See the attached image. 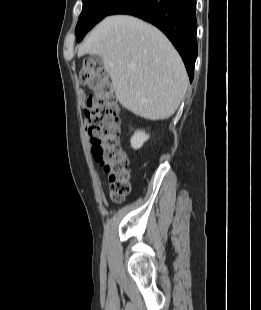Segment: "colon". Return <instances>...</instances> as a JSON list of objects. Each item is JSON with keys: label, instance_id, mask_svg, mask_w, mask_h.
<instances>
[{"label": "colon", "instance_id": "5ec220e1", "mask_svg": "<svg viewBox=\"0 0 261 310\" xmlns=\"http://www.w3.org/2000/svg\"><path fill=\"white\" fill-rule=\"evenodd\" d=\"M79 80L92 93L84 103L89 121L92 154L105 172L114 202H121L130 192L132 170L120 147V116L117 99L107 72L91 59H86L79 70Z\"/></svg>", "mask_w": 261, "mask_h": 310}]
</instances>
